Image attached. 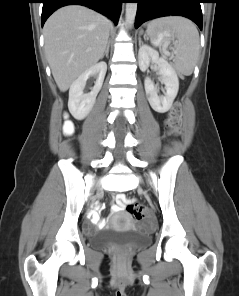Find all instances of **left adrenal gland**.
Here are the masks:
<instances>
[{
	"instance_id": "a2214340",
	"label": "left adrenal gland",
	"mask_w": 239,
	"mask_h": 296,
	"mask_svg": "<svg viewBox=\"0 0 239 296\" xmlns=\"http://www.w3.org/2000/svg\"><path fill=\"white\" fill-rule=\"evenodd\" d=\"M139 45H141V34L139 35Z\"/></svg>"
}]
</instances>
